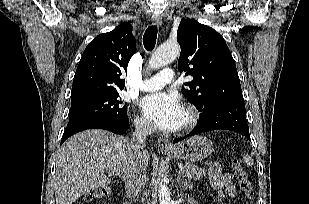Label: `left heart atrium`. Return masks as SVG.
<instances>
[{
    "instance_id": "left-heart-atrium-1",
    "label": "left heart atrium",
    "mask_w": 309,
    "mask_h": 204,
    "mask_svg": "<svg viewBox=\"0 0 309 204\" xmlns=\"http://www.w3.org/2000/svg\"><path fill=\"white\" fill-rule=\"evenodd\" d=\"M141 107L146 117L164 130L176 129L183 111L175 95L163 92L145 96Z\"/></svg>"
}]
</instances>
